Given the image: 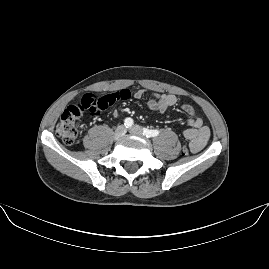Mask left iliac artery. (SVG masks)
<instances>
[{"mask_svg":"<svg viewBox=\"0 0 269 269\" xmlns=\"http://www.w3.org/2000/svg\"><path fill=\"white\" fill-rule=\"evenodd\" d=\"M143 135H145L147 138H151V137L158 136L159 131L158 130H149V129L144 128Z\"/></svg>","mask_w":269,"mask_h":269,"instance_id":"1","label":"left iliac artery"}]
</instances>
